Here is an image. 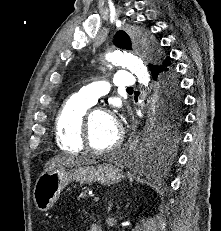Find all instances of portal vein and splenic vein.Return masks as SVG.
Masks as SVG:
<instances>
[{
	"label": "portal vein and splenic vein",
	"instance_id": "1",
	"mask_svg": "<svg viewBox=\"0 0 221 231\" xmlns=\"http://www.w3.org/2000/svg\"><path fill=\"white\" fill-rule=\"evenodd\" d=\"M93 200H94L95 202H98V201H99V196H97V195L93 196Z\"/></svg>",
	"mask_w": 221,
	"mask_h": 231
}]
</instances>
